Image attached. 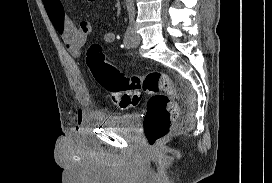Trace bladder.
I'll use <instances>...</instances> for the list:
<instances>
[{"mask_svg": "<svg viewBox=\"0 0 272 183\" xmlns=\"http://www.w3.org/2000/svg\"><path fill=\"white\" fill-rule=\"evenodd\" d=\"M98 121L105 128L131 132L139 122V115L137 113L106 115Z\"/></svg>", "mask_w": 272, "mask_h": 183, "instance_id": "obj_1", "label": "bladder"}]
</instances>
